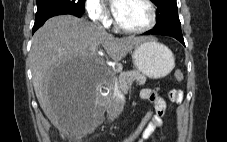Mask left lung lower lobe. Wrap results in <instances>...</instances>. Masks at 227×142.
<instances>
[{
	"mask_svg": "<svg viewBox=\"0 0 227 142\" xmlns=\"http://www.w3.org/2000/svg\"><path fill=\"white\" fill-rule=\"evenodd\" d=\"M145 35L153 34V35H167L176 38L178 41H180L183 45L184 39L181 30L171 29V28H156L149 30L144 33Z\"/></svg>",
	"mask_w": 227,
	"mask_h": 142,
	"instance_id": "0a47b994",
	"label": "left lung lower lobe"
}]
</instances>
